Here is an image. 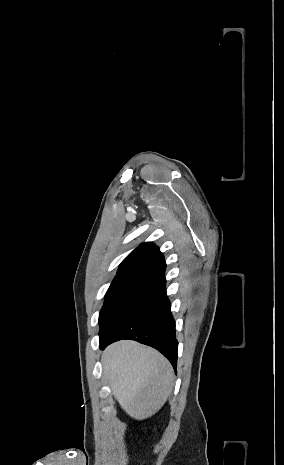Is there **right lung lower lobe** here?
I'll return each instance as SVG.
<instances>
[{"mask_svg":"<svg viewBox=\"0 0 284 465\" xmlns=\"http://www.w3.org/2000/svg\"><path fill=\"white\" fill-rule=\"evenodd\" d=\"M166 279L158 280L127 312L100 335V348L131 339L161 352L176 372L178 342L175 321L165 290Z\"/></svg>","mask_w":284,"mask_h":465,"instance_id":"right-lung-lower-lobe-1","label":"right lung lower lobe"}]
</instances>
